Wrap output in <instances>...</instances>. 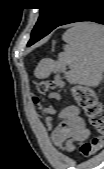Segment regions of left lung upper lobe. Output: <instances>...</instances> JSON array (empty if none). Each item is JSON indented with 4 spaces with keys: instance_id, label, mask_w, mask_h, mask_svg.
Segmentation results:
<instances>
[{
    "instance_id": "obj_1",
    "label": "left lung upper lobe",
    "mask_w": 104,
    "mask_h": 169,
    "mask_svg": "<svg viewBox=\"0 0 104 169\" xmlns=\"http://www.w3.org/2000/svg\"><path fill=\"white\" fill-rule=\"evenodd\" d=\"M49 6L40 8V16L32 32H51L74 9L77 0H45ZM32 34V33H31Z\"/></svg>"
}]
</instances>
